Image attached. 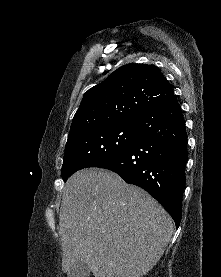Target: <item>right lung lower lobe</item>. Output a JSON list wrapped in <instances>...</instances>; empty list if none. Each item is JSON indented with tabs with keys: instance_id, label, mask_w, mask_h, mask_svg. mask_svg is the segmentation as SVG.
<instances>
[{
	"instance_id": "98d812e1",
	"label": "right lung lower lobe",
	"mask_w": 221,
	"mask_h": 277,
	"mask_svg": "<svg viewBox=\"0 0 221 277\" xmlns=\"http://www.w3.org/2000/svg\"><path fill=\"white\" fill-rule=\"evenodd\" d=\"M187 158L185 122L173 95L136 120V134L125 153L97 167L146 190L179 227Z\"/></svg>"
}]
</instances>
